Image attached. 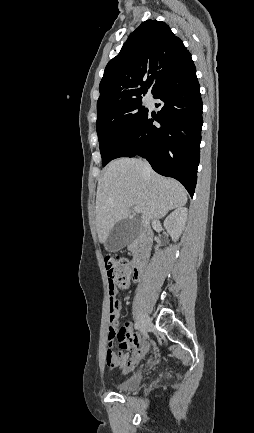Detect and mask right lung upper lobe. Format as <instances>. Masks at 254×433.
Instances as JSON below:
<instances>
[{
	"label": "right lung upper lobe",
	"instance_id": "1",
	"mask_svg": "<svg viewBox=\"0 0 254 433\" xmlns=\"http://www.w3.org/2000/svg\"><path fill=\"white\" fill-rule=\"evenodd\" d=\"M190 58V52L166 23L143 22L107 64L99 85L97 111L142 99L147 88L154 95Z\"/></svg>",
	"mask_w": 254,
	"mask_h": 433
}]
</instances>
